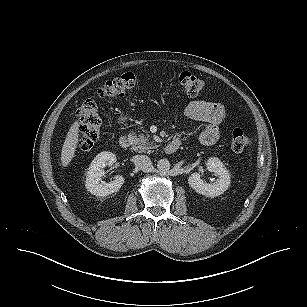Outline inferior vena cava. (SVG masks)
<instances>
[{"mask_svg":"<svg viewBox=\"0 0 307 307\" xmlns=\"http://www.w3.org/2000/svg\"><path fill=\"white\" fill-rule=\"evenodd\" d=\"M134 164L144 172L149 171L152 168L151 159L146 155H136L134 157Z\"/></svg>","mask_w":307,"mask_h":307,"instance_id":"1","label":"inferior vena cava"}]
</instances>
